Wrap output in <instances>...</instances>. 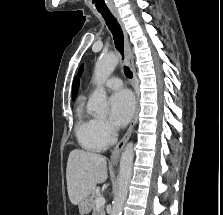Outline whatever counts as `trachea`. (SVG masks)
Here are the masks:
<instances>
[{
    "instance_id": "obj_1",
    "label": "trachea",
    "mask_w": 223,
    "mask_h": 215,
    "mask_svg": "<svg viewBox=\"0 0 223 215\" xmlns=\"http://www.w3.org/2000/svg\"><path fill=\"white\" fill-rule=\"evenodd\" d=\"M98 12L101 13L103 18L105 19L109 30L113 34L115 47L121 53V55L123 57L124 35H123L122 29H121L119 23L117 22L116 18L112 15V13L108 9L98 10ZM124 72H125L126 77H128V78L133 77V74H132L130 68L124 66Z\"/></svg>"
}]
</instances>
